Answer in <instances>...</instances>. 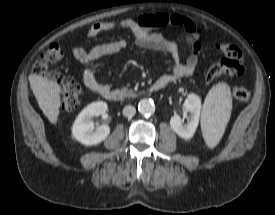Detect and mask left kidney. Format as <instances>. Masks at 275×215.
I'll use <instances>...</instances> for the list:
<instances>
[{"instance_id":"1","label":"left kidney","mask_w":275,"mask_h":215,"mask_svg":"<svg viewBox=\"0 0 275 215\" xmlns=\"http://www.w3.org/2000/svg\"><path fill=\"white\" fill-rule=\"evenodd\" d=\"M184 106L186 111L190 113V118L187 124L183 123V120L179 115H174L170 119V126L178 136L188 140L193 137L199 123L202 107L201 99L199 96L191 93L187 96Z\"/></svg>"}]
</instances>
